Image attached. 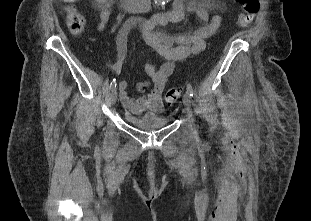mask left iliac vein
Returning <instances> with one entry per match:
<instances>
[{
	"label": "left iliac vein",
	"mask_w": 311,
	"mask_h": 221,
	"mask_svg": "<svg viewBox=\"0 0 311 221\" xmlns=\"http://www.w3.org/2000/svg\"><path fill=\"white\" fill-rule=\"evenodd\" d=\"M183 104H184L185 109L187 111L188 117L193 122L192 101H191V97L188 93H185L183 96Z\"/></svg>",
	"instance_id": "1"
}]
</instances>
